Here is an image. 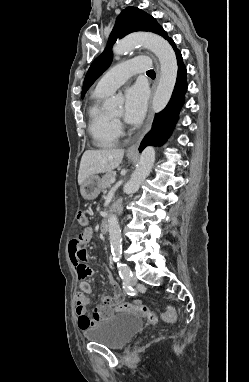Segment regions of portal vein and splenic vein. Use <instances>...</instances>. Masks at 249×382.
I'll return each instance as SVG.
<instances>
[{
    "instance_id": "1",
    "label": "portal vein and splenic vein",
    "mask_w": 249,
    "mask_h": 382,
    "mask_svg": "<svg viewBox=\"0 0 249 382\" xmlns=\"http://www.w3.org/2000/svg\"><path fill=\"white\" fill-rule=\"evenodd\" d=\"M115 181H116V179H115V177H113V178L111 179V183H115Z\"/></svg>"
}]
</instances>
